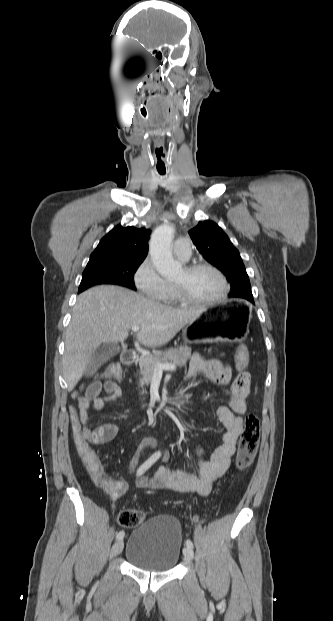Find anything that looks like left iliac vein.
Wrapping results in <instances>:
<instances>
[{"label":"left iliac vein","mask_w":333,"mask_h":621,"mask_svg":"<svg viewBox=\"0 0 333 621\" xmlns=\"http://www.w3.org/2000/svg\"><path fill=\"white\" fill-rule=\"evenodd\" d=\"M183 554L189 560L193 559V557H194V552H193L192 548H190V547H184L183 548Z\"/></svg>","instance_id":"obj_1"}]
</instances>
